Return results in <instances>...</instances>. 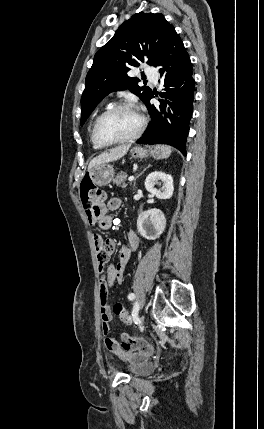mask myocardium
<instances>
[{"mask_svg": "<svg viewBox=\"0 0 264 429\" xmlns=\"http://www.w3.org/2000/svg\"><path fill=\"white\" fill-rule=\"evenodd\" d=\"M120 109H131L133 111H135V113L138 115L139 118V125L138 128L136 129V131L123 139H119V140H115V141H104L100 138L99 136V126L100 123L102 122V120L109 115L110 113L120 110ZM146 125V118L145 116L140 112V110L138 109V107L131 102H117L112 104L111 106H109L108 108H106L95 120L94 125H93V138L96 141L97 144H99L102 147H107V146H112V145H117V144H123V143H128L131 141L136 140L144 131Z\"/></svg>", "mask_w": 264, "mask_h": 429, "instance_id": "myocardium-1", "label": "myocardium"}]
</instances>
